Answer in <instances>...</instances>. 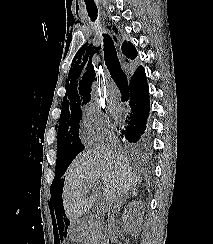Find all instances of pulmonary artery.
Listing matches in <instances>:
<instances>
[{"mask_svg": "<svg viewBox=\"0 0 213 244\" xmlns=\"http://www.w3.org/2000/svg\"><path fill=\"white\" fill-rule=\"evenodd\" d=\"M107 93L111 97H116L118 95V90L114 83H111L107 87Z\"/></svg>", "mask_w": 213, "mask_h": 244, "instance_id": "1", "label": "pulmonary artery"}]
</instances>
